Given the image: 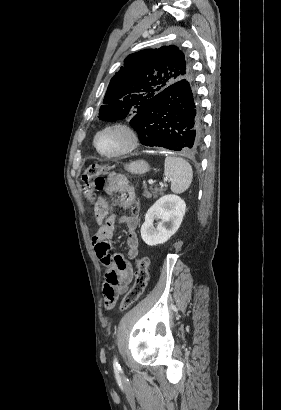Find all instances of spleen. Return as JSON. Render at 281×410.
Instances as JSON below:
<instances>
[{
    "label": "spleen",
    "mask_w": 281,
    "mask_h": 410,
    "mask_svg": "<svg viewBox=\"0 0 281 410\" xmlns=\"http://www.w3.org/2000/svg\"><path fill=\"white\" fill-rule=\"evenodd\" d=\"M164 174L171 181V191L174 193L186 191L193 178L191 165L180 157L167 156L165 158Z\"/></svg>",
    "instance_id": "obj_1"
}]
</instances>
